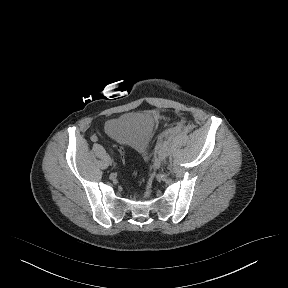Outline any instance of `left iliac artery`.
I'll list each match as a JSON object with an SVG mask.
<instances>
[{"label": "left iliac artery", "instance_id": "left-iliac-artery-1", "mask_svg": "<svg viewBox=\"0 0 288 288\" xmlns=\"http://www.w3.org/2000/svg\"><path fill=\"white\" fill-rule=\"evenodd\" d=\"M165 150H166V145L163 144V145L160 147V152L163 153Z\"/></svg>", "mask_w": 288, "mask_h": 288}]
</instances>
